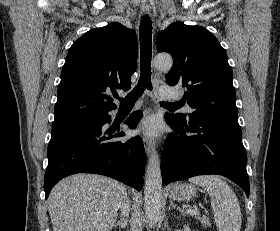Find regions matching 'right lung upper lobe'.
Listing matches in <instances>:
<instances>
[{
    "label": "right lung upper lobe",
    "mask_w": 280,
    "mask_h": 231,
    "mask_svg": "<svg viewBox=\"0 0 280 231\" xmlns=\"http://www.w3.org/2000/svg\"><path fill=\"white\" fill-rule=\"evenodd\" d=\"M137 65L134 30L118 22L86 32L70 47L61 72L53 124L108 113L105 92L131 88Z\"/></svg>",
    "instance_id": "cb5924a9"
}]
</instances>
